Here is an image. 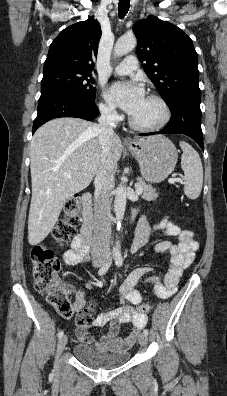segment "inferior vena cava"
Wrapping results in <instances>:
<instances>
[{
  "mask_svg": "<svg viewBox=\"0 0 227 396\" xmlns=\"http://www.w3.org/2000/svg\"><path fill=\"white\" fill-rule=\"evenodd\" d=\"M95 130L103 149L101 166L96 174L94 185V232L92 240L93 256L110 255L111 238V191L117 164L109 156L110 139L115 135L116 113L113 109L103 108Z\"/></svg>",
  "mask_w": 227,
  "mask_h": 396,
  "instance_id": "602c4592",
  "label": "inferior vena cava"
}]
</instances>
